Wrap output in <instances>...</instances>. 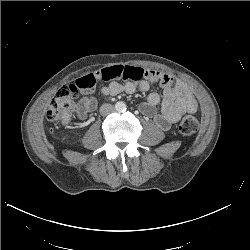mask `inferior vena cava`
Returning <instances> with one entry per match:
<instances>
[{"instance_id": "1", "label": "inferior vena cava", "mask_w": 250, "mask_h": 250, "mask_svg": "<svg viewBox=\"0 0 250 250\" xmlns=\"http://www.w3.org/2000/svg\"><path fill=\"white\" fill-rule=\"evenodd\" d=\"M114 110H115V108L111 104H103L100 107V113H101V115H108V114L112 113Z\"/></svg>"}]
</instances>
